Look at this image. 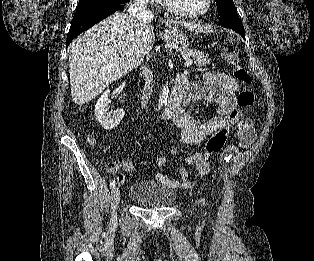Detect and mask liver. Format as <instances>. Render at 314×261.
Instances as JSON below:
<instances>
[{
  "label": "liver",
  "mask_w": 314,
  "mask_h": 261,
  "mask_svg": "<svg viewBox=\"0 0 314 261\" xmlns=\"http://www.w3.org/2000/svg\"><path fill=\"white\" fill-rule=\"evenodd\" d=\"M167 26L188 24L164 21ZM155 41L150 20L114 13L75 39L70 47L71 96L82 105L141 64ZM110 70L104 71L106 67Z\"/></svg>",
  "instance_id": "6515ba94"
}]
</instances>
